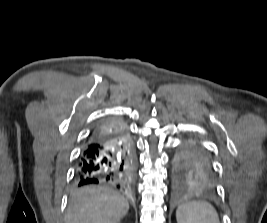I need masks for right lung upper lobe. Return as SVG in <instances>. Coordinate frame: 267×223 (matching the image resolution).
I'll use <instances>...</instances> for the list:
<instances>
[{
  "label": "right lung upper lobe",
  "instance_id": "1",
  "mask_svg": "<svg viewBox=\"0 0 267 223\" xmlns=\"http://www.w3.org/2000/svg\"><path fill=\"white\" fill-rule=\"evenodd\" d=\"M116 123L122 124L123 126H125L123 123L118 122V121H105L98 125V127L96 128V131L91 137H89V139H98L103 135L110 134V132H112L111 131L112 126H114Z\"/></svg>",
  "mask_w": 267,
  "mask_h": 223
}]
</instances>
